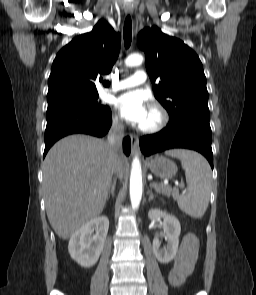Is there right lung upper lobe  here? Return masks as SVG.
I'll list each match as a JSON object with an SVG mask.
<instances>
[{"label": "right lung upper lobe", "instance_id": "obj_1", "mask_svg": "<svg viewBox=\"0 0 256 295\" xmlns=\"http://www.w3.org/2000/svg\"><path fill=\"white\" fill-rule=\"evenodd\" d=\"M120 44V34L104 20H100L91 32L74 38L53 61L47 100L70 93L98 94L94 82L97 77L110 73ZM104 85L108 86V83L104 82Z\"/></svg>", "mask_w": 256, "mask_h": 295}]
</instances>
